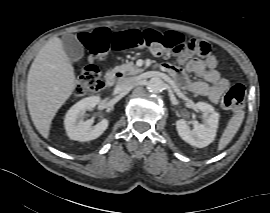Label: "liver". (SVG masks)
Here are the masks:
<instances>
[{"mask_svg":"<svg viewBox=\"0 0 270 213\" xmlns=\"http://www.w3.org/2000/svg\"><path fill=\"white\" fill-rule=\"evenodd\" d=\"M76 85L74 68L62 41L53 37L36 55L27 77L28 110L38 132L48 138L57 111Z\"/></svg>","mask_w":270,"mask_h":213,"instance_id":"6515ba94","label":"liver"}]
</instances>
